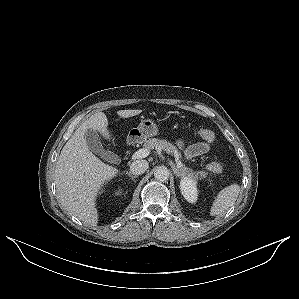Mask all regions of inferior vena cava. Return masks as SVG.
I'll return each mask as SVG.
<instances>
[{
	"label": "inferior vena cava",
	"mask_w": 299,
	"mask_h": 299,
	"mask_svg": "<svg viewBox=\"0 0 299 299\" xmlns=\"http://www.w3.org/2000/svg\"><path fill=\"white\" fill-rule=\"evenodd\" d=\"M148 162L146 160H136L132 162L130 171L135 175L143 174L148 169Z\"/></svg>",
	"instance_id": "obj_1"
}]
</instances>
